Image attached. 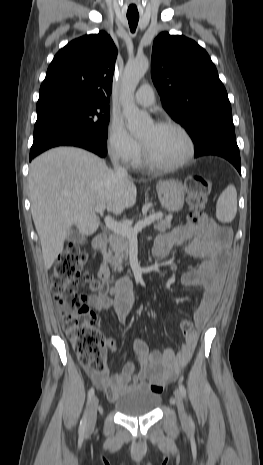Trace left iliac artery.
<instances>
[{
    "label": "left iliac artery",
    "mask_w": 263,
    "mask_h": 465,
    "mask_svg": "<svg viewBox=\"0 0 263 465\" xmlns=\"http://www.w3.org/2000/svg\"><path fill=\"white\" fill-rule=\"evenodd\" d=\"M179 390H180L182 396L186 399V389L182 384L179 385ZM189 423L191 425L193 424V421H192L191 417H189Z\"/></svg>",
    "instance_id": "1"
}]
</instances>
